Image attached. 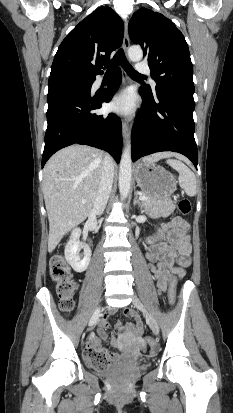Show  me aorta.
<instances>
[{
	"label": "aorta",
	"instance_id": "1",
	"mask_svg": "<svg viewBox=\"0 0 233 413\" xmlns=\"http://www.w3.org/2000/svg\"><path fill=\"white\" fill-rule=\"evenodd\" d=\"M128 57L131 61H140L143 57V51L139 46H132L128 50ZM131 149L127 146L121 156L119 168V191L122 199H125L130 190L131 172H132Z\"/></svg>",
	"mask_w": 233,
	"mask_h": 413
}]
</instances>
